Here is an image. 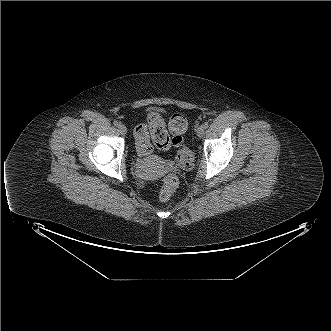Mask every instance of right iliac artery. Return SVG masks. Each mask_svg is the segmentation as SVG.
<instances>
[{
	"mask_svg": "<svg viewBox=\"0 0 331 331\" xmlns=\"http://www.w3.org/2000/svg\"><path fill=\"white\" fill-rule=\"evenodd\" d=\"M113 124H114V126L117 127V126H119L120 123L118 121H114Z\"/></svg>",
	"mask_w": 331,
	"mask_h": 331,
	"instance_id": "right-iliac-artery-1",
	"label": "right iliac artery"
}]
</instances>
